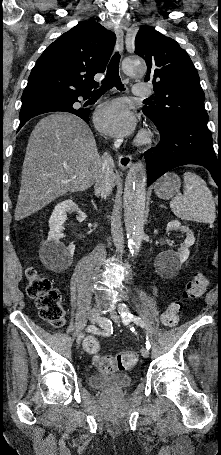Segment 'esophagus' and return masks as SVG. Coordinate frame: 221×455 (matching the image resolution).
Here are the masks:
<instances>
[{"instance_id":"esophagus-1","label":"esophagus","mask_w":221,"mask_h":455,"mask_svg":"<svg viewBox=\"0 0 221 455\" xmlns=\"http://www.w3.org/2000/svg\"><path fill=\"white\" fill-rule=\"evenodd\" d=\"M114 32L117 37V46L118 50L120 52L123 51V38H124V33L123 30L120 27H115ZM132 158L130 155H120L118 157V164L122 170H127L131 166Z\"/></svg>"}]
</instances>
